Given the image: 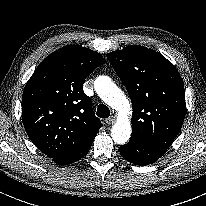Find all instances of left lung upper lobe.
Listing matches in <instances>:
<instances>
[{
  "label": "left lung upper lobe",
  "mask_w": 206,
  "mask_h": 206,
  "mask_svg": "<svg viewBox=\"0 0 206 206\" xmlns=\"http://www.w3.org/2000/svg\"><path fill=\"white\" fill-rule=\"evenodd\" d=\"M133 106L131 139L169 148L185 118L183 81L163 55L139 45L107 54Z\"/></svg>",
  "instance_id": "left-lung-upper-lobe-1"
}]
</instances>
